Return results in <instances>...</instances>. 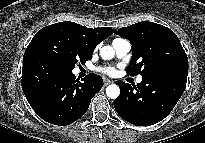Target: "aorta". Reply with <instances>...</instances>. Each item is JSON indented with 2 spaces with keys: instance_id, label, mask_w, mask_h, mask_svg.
I'll return each mask as SVG.
<instances>
[{
  "instance_id": "1",
  "label": "aorta",
  "mask_w": 205,
  "mask_h": 143,
  "mask_svg": "<svg viewBox=\"0 0 205 143\" xmlns=\"http://www.w3.org/2000/svg\"><path fill=\"white\" fill-rule=\"evenodd\" d=\"M115 51L111 46H104L100 50V56L104 60H111L114 58ZM107 97L116 99L120 94V89L116 84H111L106 88Z\"/></svg>"
}]
</instances>
